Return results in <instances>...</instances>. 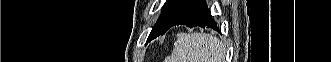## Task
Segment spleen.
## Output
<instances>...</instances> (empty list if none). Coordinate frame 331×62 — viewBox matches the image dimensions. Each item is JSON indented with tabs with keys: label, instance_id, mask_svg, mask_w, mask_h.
Instances as JSON below:
<instances>
[{
	"label": "spleen",
	"instance_id": "obj_1",
	"mask_svg": "<svg viewBox=\"0 0 331 62\" xmlns=\"http://www.w3.org/2000/svg\"><path fill=\"white\" fill-rule=\"evenodd\" d=\"M224 50L220 41L209 34H177L169 62H221ZM172 60V61H171Z\"/></svg>",
	"mask_w": 331,
	"mask_h": 62
}]
</instances>
